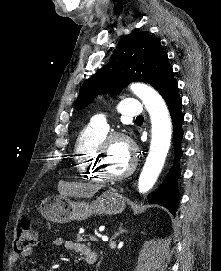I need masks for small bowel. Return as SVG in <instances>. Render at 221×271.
I'll use <instances>...</instances> for the list:
<instances>
[{"label": "small bowel", "mask_w": 221, "mask_h": 271, "mask_svg": "<svg viewBox=\"0 0 221 271\" xmlns=\"http://www.w3.org/2000/svg\"><path fill=\"white\" fill-rule=\"evenodd\" d=\"M54 245L57 247H64L70 252H74L85 257H95L97 258V253L92 251L86 244L76 241V240H66L62 237H57L54 239ZM33 254V248L29 247L21 252H14L11 255V262L13 264L17 263L21 256L30 257Z\"/></svg>", "instance_id": "small-bowel-1"}]
</instances>
